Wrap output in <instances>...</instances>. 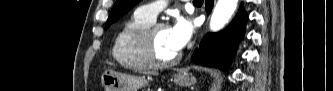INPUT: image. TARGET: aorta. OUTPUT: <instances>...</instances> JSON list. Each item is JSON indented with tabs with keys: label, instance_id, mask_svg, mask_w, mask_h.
Wrapping results in <instances>:
<instances>
[{
	"label": "aorta",
	"instance_id": "aorta-1",
	"mask_svg": "<svg viewBox=\"0 0 333 91\" xmlns=\"http://www.w3.org/2000/svg\"><path fill=\"white\" fill-rule=\"evenodd\" d=\"M237 3L238 0H218L210 19L212 31H219L225 26L235 12Z\"/></svg>",
	"mask_w": 333,
	"mask_h": 91
}]
</instances>
